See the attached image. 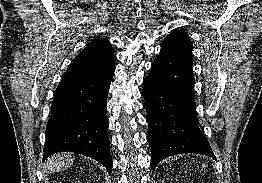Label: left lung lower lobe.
I'll return each instance as SVG.
<instances>
[{"label":"left lung lower lobe","mask_w":262,"mask_h":183,"mask_svg":"<svg viewBox=\"0 0 262 183\" xmlns=\"http://www.w3.org/2000/svg\"><path fill=\"white\" fill-rule=\"evenodd\" d=\"M192 64V58L161 49L143 81L153 169L161 160L182 153L216 159L198 126Z\"/></svg>","instance_id":"obj_1"}]
</instances>
